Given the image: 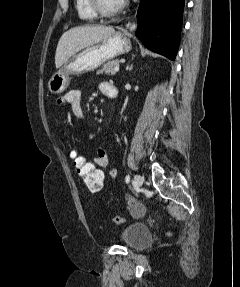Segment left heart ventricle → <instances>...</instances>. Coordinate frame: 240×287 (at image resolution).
<instances>
[{
    "label": "left heart ventricle",
    "mask_w": 240,
    "mask_h": 287,
    "mask_svg": "<svg viewBox=\"0 0 240 287\" xmlns=\"http://www.w3.org/2000/svg\"><path fill=\"white\" fill-rule=\"evenodd\" d=\"M123 0H102L103 6L107 9H113L118 6Z\"/></svg>",
    "instance_id": "obj_1"
}]
</instances>
